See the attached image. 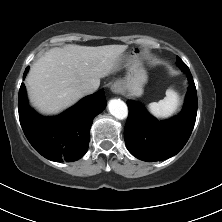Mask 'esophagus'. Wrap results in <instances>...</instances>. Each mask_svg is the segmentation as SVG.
I'll return each instance as SVG.
<instances>
[{"label":"esophagus","instance_id":"esophagus-1","mask_svg":"<svg viewBox=\"0 0 222 222\" xmlns=\"http://www.w3.org/2000/svg\"><path fill=\"white\" fill-rule=\"evenodd\" d=\"M111 90L114 92V93H119L121 91V87L120 86H117V85H113L111 87Z\"/></svg>","mask_w":222,"mask_h":222}]
</instances>
